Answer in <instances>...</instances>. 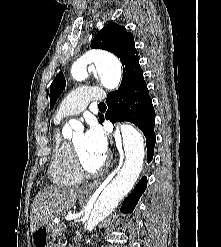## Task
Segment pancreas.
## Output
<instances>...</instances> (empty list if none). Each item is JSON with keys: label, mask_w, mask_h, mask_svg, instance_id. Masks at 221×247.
<instances>
[{"label": "pancreas", "mask_w": 221, "mask_h": 247, "mask_svg": "<svg viewBox=\"0 0 221 247\" xmlns=\"http://www.w3.org/2000/svg\"><path fill=\"white\" fill-rule=\"evenodd\" d=\"M52 228L55 236L57 237H61L63 232H65L67 229L66 224L64 222H61L59 224H52Z\"/></svg>", "instance_id": "pancreas-1"}]
</instances>
